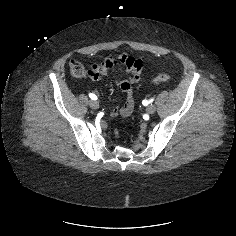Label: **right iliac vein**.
Here are the masks:
<instances>
[{"mask_svg": "<svg viewBox=\"0 0 236 236\" xmlns=\"http://www.w3.org/2000/svg\"><path fill=\"white\" fill-rule=\"evenodd\" d=\"M89 105H90V107L92 108V109H98L99 108V103H98V101H96V100H91L90 102H89Z\"/></svg>", "mask_w": 236, "mask_h": 236, "instance_id": "63e3f726", "label": "right iliac vein"}]
</instances>
